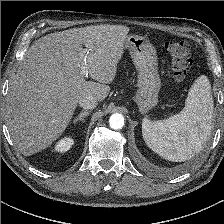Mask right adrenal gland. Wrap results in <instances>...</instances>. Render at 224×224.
<instances>
[{
    "label": "right adrenal gland",
    "instance_id": "2a0ac1e0",
    "mask_svg": "<svg viewBox=\"0 0 224 224\" xmlns=\"http://www.w3.org/2000/svg\"><path fill=\"white\" fill-rule=\"evenodd\" d=\"M89 113H90L89 111L80 112L78 117L76 119H74L73 123L75 124L77 121H82L84 123V117L89 115Z\"/></svg>",
    "mask_w": 224,
    "mask_h": 224
}]
</instances>
